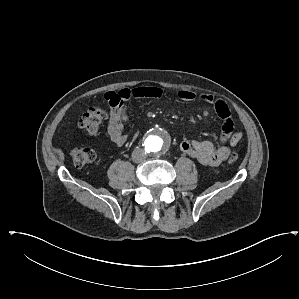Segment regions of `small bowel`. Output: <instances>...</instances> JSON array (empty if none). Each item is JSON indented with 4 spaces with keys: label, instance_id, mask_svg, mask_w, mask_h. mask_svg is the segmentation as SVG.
Segmentation results:
<instances>
[{
    "label": "small bowel",
    "instance_id": "c3829d8e",
    "mask_svg": "<svg viewBox=\"0 0 299 299\" xmlns=\"http://www.w3.org/2000/svg\"><path fill=\"white\" fill-rule=\"evenodd\" d=\"M162 96L163 91L158 86L125 88L117 92L107 93L105 100L110 105V111L107 115L106 138L119 146L127 141L128 134L124 125L128 119L127 103L130 100L159 99ZM178 96L183 101H193L196 98V95L190 90H180ZM200 99L213 106L217 116L222 121L220 145L215 147L209 141L183 139L180 142V149L201 164L214 167L227 159L229 154L227 145L235 147L242 140L243 132L235 129L230 109L223 99L214 98L209 94H202Z\"/></svg>",
    "mask_w": 299,
    "mask_h": 299
}]
</instances>
